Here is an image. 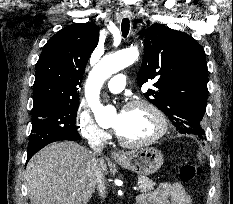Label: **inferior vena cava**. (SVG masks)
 <instances>
[{
	"instance_id": "1",
	"label": "inferior vena cava",
	"mask_w": 233,
	"mask_h": 204,
	"mask_svg": "<svg viewBox=\"0 0 233 204\" xmlns=\"http://www.w3.org/2000/svg\"><path fill=\"white\" fill-rule=\"evenodd\" d=\"M90 147L92 149V155H93V168H94V180L97 185V188L101 194V196L104 195V182H103V177L102 173L98 169V161H99V155H101L103 148H104V143L100 138H95L93 139L90 143Z\"/></svg>"
}]
</instances>
